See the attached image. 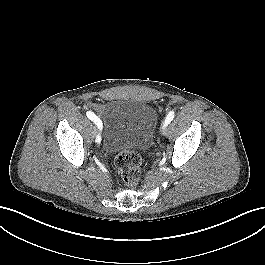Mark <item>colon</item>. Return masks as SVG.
I'll list each match as a JSON object with an SVG mask.
<instances>
[{
  "mask_svg": "<svg viewBox=\"0 0 265 265\" xmlns=\"http://www.w3.org/2000/svg\"><path fill=\"white\" fill-rule=\"evenodd\" d=\"M142 157L137 152L120 153L114 163L119 170L123 181L131 187L136 186L141 178Z\"/></svg>",
  "mask_w": 265,
  "mask_h": 265,
  "instance_id": "5ec220e1",
  "label": "colon"
}]
</instances>
